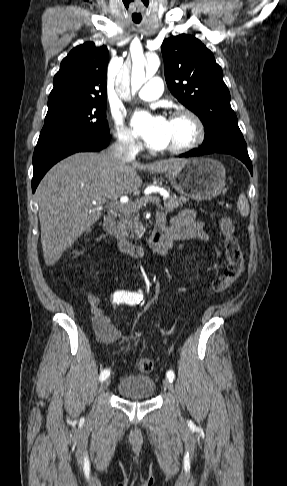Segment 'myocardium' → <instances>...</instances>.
I'll use <instances>...</instances> for the list:
<instances>
[{
  "label": "myocardium",
  "mask_w": 287,
  "mask_h": 486,
  "mask_svg": "<svg viewBox=\"0 0 287 486\" xmlns=\"http://www.w3.org/2000/svg\"><path fill=\"white\" fill-rule=\"evenodd\" d=\"M178 118L187 119L191 123L193 127V136L187 143L183 145L165 148L163 150L164 153L173 155L184 154L197 148L205 138L204 124L196 113L189 109H179L173 112V114L171 115V119Z\"/></svg>",
  "instance_id": "1"
}]
</instances>
